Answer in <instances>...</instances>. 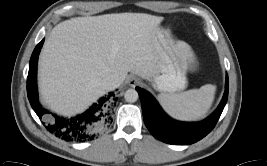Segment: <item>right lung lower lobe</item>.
<instances>
[{
    "mask_svg": "<svg viewBox=\"0 0 267 166\" xmlns=\"http://www.w3.org/2000/svg\"><path fill=\"white\" fill-rule=\"evenodd\" d=\"M43 42L44 40L32 53L27 77V95L33 110L43 120L46 129L56 137L67 142L93 140L112 122L113 108L117 101L115 94L110 92L82 114L70 118L58 116L42 108L38 101L36 74L38 56Z\"/></svg>",
    "mask_w": 267,
    "mask_h": 166,
    "instance_id": "98d812e1",
    "label": "right lung lower lobe"
}]
</instances>
